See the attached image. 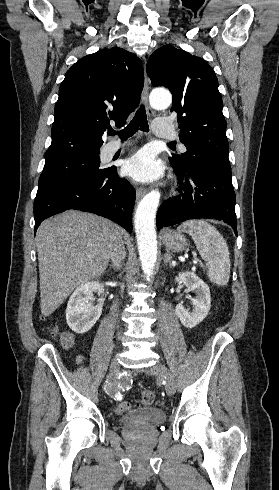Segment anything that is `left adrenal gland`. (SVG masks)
Wrapping results in <instances>:
<instances>
[{"label":"left adrenal gland","mask_w":279,"mask_h":490,"mask_svg":"<svg viewBox=\"0 0 279 490\" xmlns=\"http://www.w3.org/2000/svg\"><path fill=\"white\" fill-rule=\"evenodd\" d=\"M164 264H171L172 262V256L169 254V252H166L164 258H163Z\"/></svg>","instance_id":"a2214340"}]
</instances>
